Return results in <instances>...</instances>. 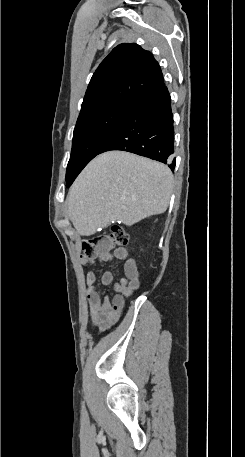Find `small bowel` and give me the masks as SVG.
Returning <instances> with one entry per match:
<instances>
[{
    "label": "small bowel",
    "instance_id": "c3829d8e",
    "mask_svg": "<svg viewBox=\"0 0 245 457\" xmlns=\"http://www.w3.org/2000/svg\"><path fill=\"white\" fill-rule=\"evenodd\" d=\"M112 258L123 262V277L114 284L115 294L111 297H102L97 289V276L95 272H89L86 277V297L90 311L91 326L100 331L108 329L121 316L125 307L126 299L140 284V270L136 261L130 256L125 248H117L112 253L99 257H91L81 260L83 267L94 264L97 260L109 261ZM113 283L111 272H104L99 280L102 286Z\"/></svg>",
    "mask_w": 245,
    "mask_h": 457
}]
</instances>
